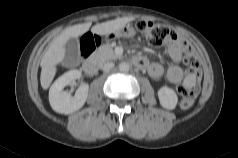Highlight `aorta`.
<instances>
[{
	"instance_id": "aorta-1",
	"label": "aorta",
	"mask_w": 238,
	"mask_h": 158,
	"mask_svg": "<svg viewBox=\"0 0 238 158\" xmlns=\"http://www.w3.org/2000/svg\"><path fill=\"white\" fill-rule=\"evenodd\" d=\"M129 69H130L129 63H127V62H122V63L119 64V70H120L121 72H128Z\"/></svg>"
}]
</instances>
